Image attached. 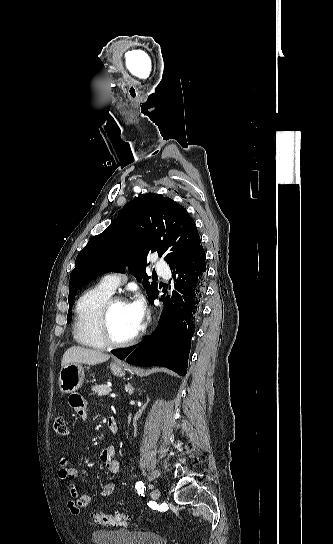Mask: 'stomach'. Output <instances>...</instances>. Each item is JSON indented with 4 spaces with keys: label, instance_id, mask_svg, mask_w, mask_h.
I'll return each instance as SVG.
<instances>
[{
    "label": "stomach",
    "instance_id": "obj_1",
    "mask_svg": "<svg viewBox=\"0 0 333 544\" xmlns=\"http://www.w3.org/2000/svg\"><path fill=\"white\" fill-rule=\"evenodd\" d=\"M111 371L114 375H125V366L112 364ZM84 381V368L80 363H69L63 366L59 373V387L63 393H71L78 390Z\"/></svg>",
    "mask_w": 333,
    "mask_h": 544
}]
</instances>
